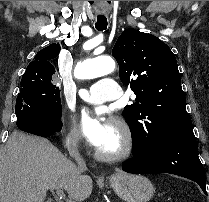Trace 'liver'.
<instances>
[{"label":"liver","mask_w":209,"mask_h":202,"mask_svg":"<svg viewBox=\"0 0 209 202\" xmlns=\"http://www.w3.org/2000/svg\"><path fill=\"white\" fill-rule=\"evenodd\" d=\"M92 187V179L47 139L19 131L9 137L0 162V202H44L56 188L84 201Z\"/></svg>","instance_id":"1"}]
</instances>
